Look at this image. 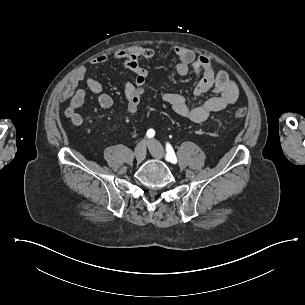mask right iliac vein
<instances>
[{"instance_id":"1","label":"right iliac vein","mask_w":305,"mask_h":305,"mask_svg":"<svg viewBox=\"0 0 305 305\" xmlns=\"http://www.w3.org/2000/svg\"><path fill=\"white\" fill-rule=\"evenodd\" d=\"M146 156V144L141 141L135 148V157L138 162H142Z\"/></svg>"}]
</instances>
